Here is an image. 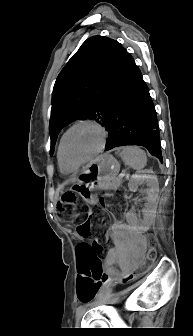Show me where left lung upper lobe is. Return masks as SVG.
Wrapping results in <instances>:
<instances>
[{"label":"left lung upper lobe","mask_w":193,"mask_h":336,"mask_svg":"<svg viewBox=\"0 0 193 336\" xmlns=\"http://www.w3.org/2000/svg\"><path fill=\"white\" fill-rule=\"evenodd\" d=\"M127 51L115 40H86L58 75L52 93L51 149L60 130L75 119L105 126L124 69Z\"/></svg>","instance_id":"left-lung-upper-lobe-1"}]
</instances>
